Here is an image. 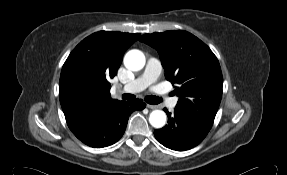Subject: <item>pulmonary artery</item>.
Instances as JSON below:
<instances>
[{"instance_id":"pulmonary-artery-1","label":"pulmonary artery","mask_w":287,"mask_h":175,"mask_svg":"<svg viewBox=\"0 0 287 175\" xmlns=\"http://www.w3.org/2000/svg\"><path fill=\"white\" fill-rule=\"evenodd\" d=\"M162 66L158 59L149 57L146 63L144 72L136 79L122 87V91L127 93H137L144 90L149 85L155 83L159 78ZM177 104V98L170 101V106L173 108Z\"/></svg>"}]
</instances>
